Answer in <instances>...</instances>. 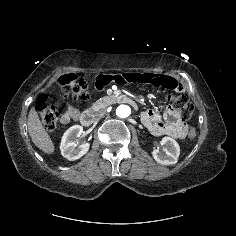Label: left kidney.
<instances>
[{"instance_id": "obj_1", "label": "left kidney", "mask_w": 236, "mask_h": 236, "mask_svg": "<svg viewBox=\"0 0 236 236\" xmlns=\"http://www.w3.org/2000/svg\"><path fill=\"white\" fill-rule=\"evenodd\" d=\"M161 142L165 148L163 151H160L159 148L154 149L153 158L162 165L175 164L180 155L179 144L171 137H163Z\"/></svg>"}]
</instances>
